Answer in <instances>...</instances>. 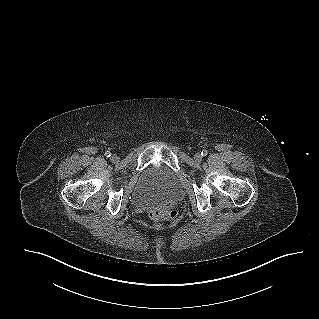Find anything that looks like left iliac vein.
<instances>
[{
  "label": "left iliac vein",
  "mask_w": 319,
  "mask_h": 319,
  "mask_svg": "<svg viewBox=\"0 0 319 319\" xmlns=\"http://www.w3.org/2000/svg\"><path fill=\"white\" fill-rule=\"evenodd\" d=\"M194 159L196 162H200L202 160V156L200 153L195 154Z\"/></svg>",
  "instance_id": "4c4485c4"
}]
</instances>
